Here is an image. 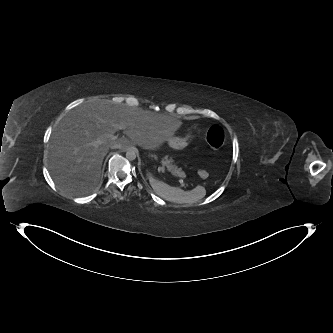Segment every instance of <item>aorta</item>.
<instances>
[{
	"label": "aorta",
	"mask_w": 333,
	"mask_h": 333,
	"mask_svg": "<svg viewBox=\"0 0 333 333\" xmlns=\"http://www.w3.org/2000/svg\"><path fill=\"white\" fill-rule=\"evenodd\" d=\"M137 156V151L134 148H128L126 151V158L129 161L135 160Z\"/></svg>",
	"instance_id": "aorta-1"
}]
</instances>
